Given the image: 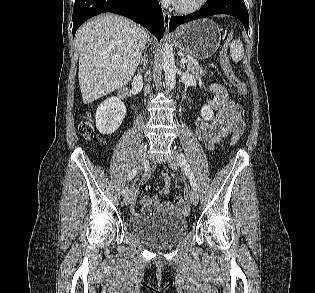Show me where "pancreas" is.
<instances>
[{"mask_svg": "<svg viewBox=\"0 0 315 293\" xmlns=\"http://www.w3.org/2000/svg\"><path fill=\"white\" fill-rule=\"evenodd\" d=\"M187 71L191 73L193 77L199 79L205 75V71L202 66H199L198 63L188 60L187 61Z\"/></svg>", "mask_w": 315, "mask_h": 293, "instance_id": "obj_1", "label": "pancreas"}]
</instances>
